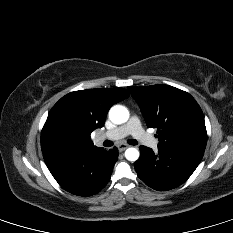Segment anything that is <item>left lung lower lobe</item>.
Listing matches in <instances>:
<instances>
[{
	"mask_svg": "<svg viewBox=\"0 0 233 233\" xmlns=\"http://www.w3.org/2000/svg\"><path fill=\"white\" fill-rule=\"evenodd\" d=\"M134 166L139 178L149 187L166 191L184 183L199 165L204 151L185 147L151 148L140 146Z\"/></svg>",
	"mask_w": 233,
	"mask_h": 233,
	"instance_id": "0a47b994",
	"label": "left lung lower lobe"
}]
</instances>
